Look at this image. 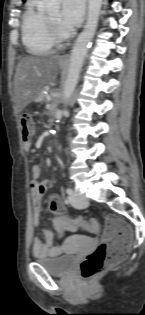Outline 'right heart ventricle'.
I'll use <instances>...</instances> for the list:
<instances>
[{
	"label": "right heart ventricle",
	"instance_id": "obj_1",
	"mask_svg": "<svg viewBox=\"0 0 145 315\" xmlns=\"http://www.w3.org/2000/svg\"><path fill=\"white\" fill-rule=\"evenodd\" d=\"M22 41L33 55L52 52L56 43L51 39L46 25V14L40 8V0H29L22 17Z\"/></svg>",
	"mask_w": 145,
	"mask_h": 315
}]
</instances>
